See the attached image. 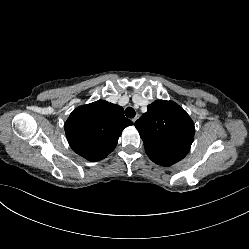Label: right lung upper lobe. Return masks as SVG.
Masks as SVG:
<instances>
[{
  "instance_id": "right-lung-upper-lobe-1",
  "label": "right lung upper lobe",
  "mask_w": 249,
  "mask_h": 249,
  "mask_svg": "<svg viewBox=\"0 0 249 249\" xmlns=\"http://www.w3.org/2000/svg\"><path fill=\"white\" fill-rule=\"evenodd\" d=\"M133 122L121 106L99 100L76 108L64 129L71 148L89 161H99L117 145L121 132Z\"/></svg>"
}]
</instances>
